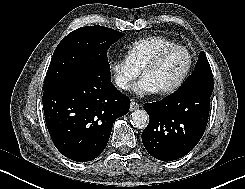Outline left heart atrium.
Returning a JSON list of instances; mask_svg holds the SVG:
<instances>
[{
  "label": "left heart atrium",
  "instance_id": "39dd6f15",
  "mask_svg": "<svg viewBox=\"0 0 245 189\" xmlns=\"http://www.w3.org/2000/svg\"><path fill=\"white\" fill-rule=\"evenodd\" d=\"M134 92L139 96H147L157 93V89L144 77L134 86Z\"/></svg>",
  "mask_w": 245,
  "mask_h": 189
}]
</instances>
